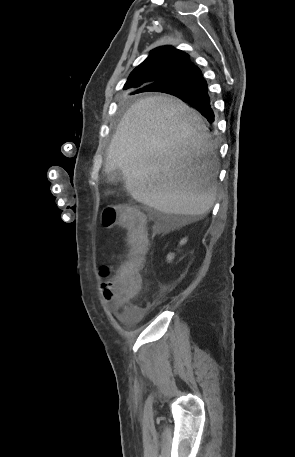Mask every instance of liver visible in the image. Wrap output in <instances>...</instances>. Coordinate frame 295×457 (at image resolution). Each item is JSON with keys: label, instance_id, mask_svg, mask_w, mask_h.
I'll return each mask as SVG.
<instances>
[{"label": "liver", "instance_id": "liver-1", "mask_svg": "<svg viewBox=\"0 0 295 457\" xmlns=\"http://www.w3.org/2000/svg\"><path fill=\"white\" fill-rule=\"evenodd\" d=\"M201 115L171 96L146 97L124 114L104 171L121 170L126 190L164 214L202 216L216 200L218 162Z\"/></svg>", "mask_w": 295, "mask_h": 457}]
</instances>
